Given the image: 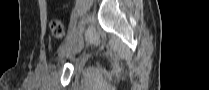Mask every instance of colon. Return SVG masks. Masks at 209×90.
Masks as SVG:
<instances>
[{"instance_id":"5ec220e1","label":"colon","mask_w":209,"mask_h":90,"mask_svg":"<svg viewBox=\"0 0 209 90\" xmlns=\"http://www.w3.org/2000/svg\"><path fill=\"white\" fill-rule=\"evenodd\" d=\"M50 31L56 40H62L65 36L66 29L63 22L59 19H53L50 22Z\"/></svg>"}]
</instances>
